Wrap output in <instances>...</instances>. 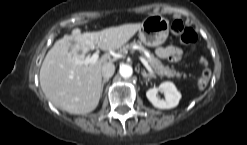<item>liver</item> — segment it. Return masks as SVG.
I'll use <instances>...</instances> for the list:
<instances>
[{"label":"liver","mask_w":247,"mask_h":145,"mask_svg":"<svg viewBox=\"0 0 247 145\" xmlns=\"http://www.w3.org/2000/svg\"><path fill=\"white\" fill-rule=\"evenodd\" d=\"M142 23L124 24L98 32L81 33L73 30L64 35L48 51L40 69L43 93L57 108L71 114L93 111L102 92V66L110 57L104 55L91 65L77 64L94 48L116 50L128 42L141 28Z\"/></svg>","instance_id":"1"}]
</instances>
